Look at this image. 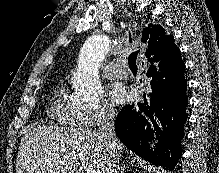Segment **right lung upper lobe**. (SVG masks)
I'll list each match as a JSON object with an SVG mask.
<instances>
[{"label": "right lung upper lobe", "mask_w": 219, "mask_h": 173, "mask_svg": "<svg viewBox=\"0 0 219 173\" xmlns=\"http://www.w3.org/2000/svg\"><path fill=\"white\" fill-rule=\"evenodd\" d=\"M142 33V40L148 42L146 57L152 59L157 55L172 57L179 54V48L174 44V38L167 35L159 25L149 24Z\"/></svg>", "instance_id": "cb5924a9"}]
</instances>
